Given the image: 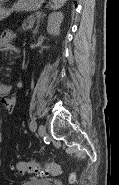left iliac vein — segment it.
Masks as SVG:
<instances>
[{
  "label": "left iliac vein",
  "instance_id": "1",
  "mask_svg": "<svg viewBox=\"0 0 119 185\" xmlns=\"http://www.w3.org/2000/svg\"><path fill=\"white\" fill-rule=\"evenodd\" d=\"M38 135L40 137H44L46 135V129H45L44 125H42V124L38 128Z\"/></svg>",
  "mask_w": 119,
  "mask_h": 185
}]
</instances>
